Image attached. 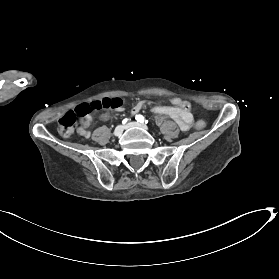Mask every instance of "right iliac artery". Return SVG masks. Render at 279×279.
<instances>
[{
  "label": "right iliac artery",
  "mask_w": 279,
  "mask_h": 279,
  "mask_svg": "<svg viewBox=\"0 0 279 279\" xmlns=\"http://www.w3.org/2000/svg\"><path fill=\"white\" fill-rule=\"evenodd\" d=\"M128 121H129V119L125 118V119L122 121V123H123V124H126Z\"/></svg>",
  "instance_id": "obj_1"
}]
</instances>
